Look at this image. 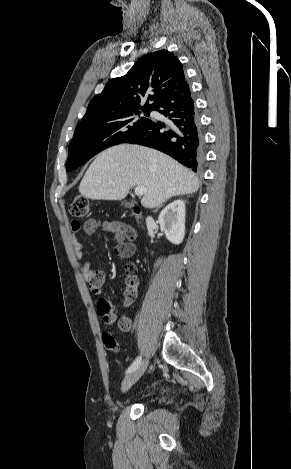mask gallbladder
Segmentation results:
<instances>
[{"label":"gallbladder","instance_id":"bac80fb5","mask_svg":"<svg viewBox=\"0 0 291 469\" xmlns=\"http://www.w3.org/2000/svg\"><path fill=\"white\" fill-rule=\"evenodd\" d=\"M122 205H123L124 207H126V208L132 207V203H129V202H123Z\"/></svg>","mask_w":291,"mask_h":469}]
</instances>
